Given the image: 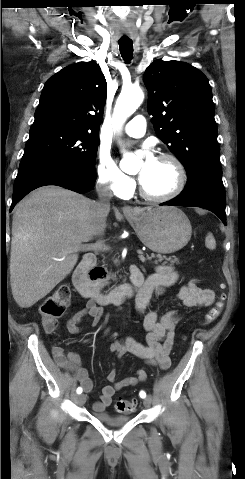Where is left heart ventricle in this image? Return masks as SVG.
Segmentation results:
<instances>
[{"mask_svg": "<svg viewBox=\"0 0 245 479\" xmlns=\"http://www.w3.org/2000/svg\"><path fill=\"white\" fill-rule=\"evenodd\" d=\"M143 170V163L138 169L140 174ZM176 181V172L171 162L156 159L147 172L145 178L140 181L145 191L151 195H163L169 192Z\"/></svg>", "mask_w": 245, "mask_h": 479, "instance_id": "b2bd125f", "label": "left heart ventricle"}]
</instances>
